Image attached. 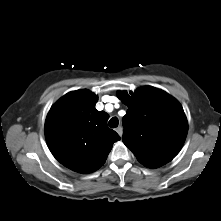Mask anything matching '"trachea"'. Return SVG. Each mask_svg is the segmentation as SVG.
<instances>
[{"mask_svg":"<svg viewBox=\"0 0 221 221\" xmlns=\"http://www.w3.org/2000/svg\"><path fill=\"white\" fill-rule=\"evenodd\" d=\"M109 127L110 128H116L119 124L118 118L117 117H113L109 120Z\"/></svg>","mask_w":221,"mask_h":221,"instance_id":"1","label":"trachea"}]
</instances>
